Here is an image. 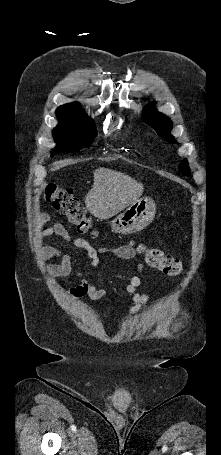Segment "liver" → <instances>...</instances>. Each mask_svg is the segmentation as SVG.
<instances>
[{"label": "liver", "mask_w": 221, "mask_h": 455, "mask_svg": "<svg viewBox=\"0 0 221 455\" xmlns=\"http://www.w3.org/2000/svg\"><path fill=\"white\" fill-rule=\"evenodd\" d=\"M93 181V186L86 195L85 205L87 210L99 219L115 216L137 201L144 190L142 183L107 168L95 170Z\"/></svg>", "instance_id": "obj_1"}]
</instances>
